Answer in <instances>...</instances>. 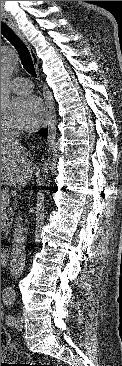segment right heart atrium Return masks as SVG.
<instances>
[{"label": "right heart atrium", "instance_id": "right-heart-atrium-1", "mask_svg": "<svg viewBox=\"0 0 122 366\" xmlns=\"http://www.w3.org/2000/svg\"><path fill=\"white\" fill-rule=\"evenodd\" d=\"M8 129H9V126L6 123H4V122L1 121V135L3 133L7 132Z\"/></svg>", "mask_w": 122, "mask_h": 366}]
</instances>
